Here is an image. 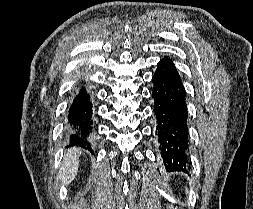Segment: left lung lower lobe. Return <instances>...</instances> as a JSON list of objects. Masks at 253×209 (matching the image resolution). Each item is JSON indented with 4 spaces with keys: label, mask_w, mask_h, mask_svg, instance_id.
Returning <instances> with one entry per match:
<instances>
[{
    "label": "left lung lower lobe",
    "mask_w": 253,
    "mask_h": 209,
    "mask_svg": "<svg viewBox=\"0 0 253 209\" xmlns=\"http://www.w3.org/2000/svg\"><path fill=\"white\" fill-rule=\"evenodd\" d=\"M152 80L156 136L165 168L187 172L189 133L184 86L175 65L168 58L157 64Z\"/></svg>",
    "instance_id": "obj_1"
}]
</instances>
